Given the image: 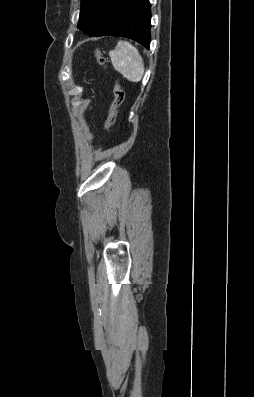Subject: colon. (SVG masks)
<instances>
[{"mask_svg":"<svg viewBox=\"0 0 254 397\" xmlns=\"http://www.w3.org/2000/svg\"><path fill=\"white\" fill-rule=\"evenodd\" d=\"M96 57L100 64H102V65L105 64V59L98 49L96 50ZM113 94H114V99L110 105L108 117L104 124L105 131H108L114 125L116 118H117L118 109L124 100V91L122 90V87H121L119 81H117V80L115 81V84L113 87Z\"/></svg>","mask_w":254,"mask_h":397,"instance_id":"obj_1","label":"colon"}]
</instances>
